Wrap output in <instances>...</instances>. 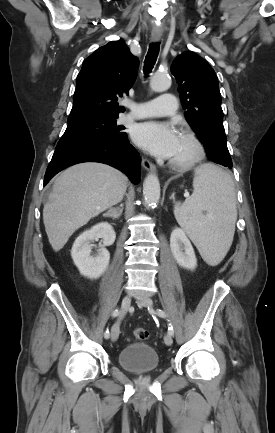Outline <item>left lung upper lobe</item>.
<instances>
[{
    "mask_svg": "<svg viewBox=\"0 0 275 433\" xmlns=\"http://www.w3.org/2000/svg\"><path fill=\"white\" fill-rule=\"evenodd\" d=\"M171 72L179 85L185 117L204 144L209 159L221 165L232 164L214 70L196 53L188 51L176 57Z\"/></svg>",
    "mask_w": 275,
    "mask_h": 433,
    "instance_id": "obj_1",
    "label": "left lung upper lobe"
}]
</instances>
